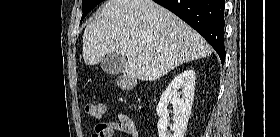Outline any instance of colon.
<instances>
[{
  "mask_svg": "<svg viewBox=\"0 0 280 137\" xmlns=\"http://www.w3.org/2000/svg\"><path fill=\"white\" fill-rule=\"evenodd\" d=\"M87 114L95 120H100L105 112V106L98 101H91L86 104Z\"/></svg>",
  "mask_w": 280,
  "mask_h": 137,
  "instance_id": "colon-1",
  "label": "colon"
}]
</instances>
